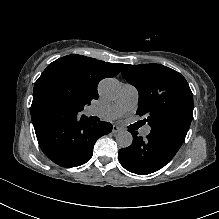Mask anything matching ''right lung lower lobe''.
Segmentation results:
<instances>
[{"instance_id": "98d812e1", "label": "right lung lower lobe", "mask_w": 219, "mask_h": 219, "mask_svg": "<svg viewBox=\"0 0 219 219\" xmlns=\"http://www.w3.org/2000/svg\"><path fill=\"white\" fill-rule=\"evenodd\" d=\"M36 137L44 154L62 167L80 166L92 157L98 138L112 131L109 122L94 123L86 116L36 115Z\"/></svg>"}]
</instances>
